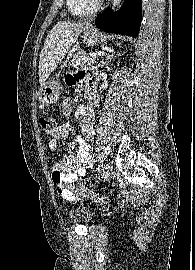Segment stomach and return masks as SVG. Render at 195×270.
Returning <instances> with one entry per match:
<instances>
[{"label": "stomach", "instance_id": "obj_1", "mask_svg": "<svg viewBox=\"0 0 195 270\" xmlns=\"http://www.w3.org/2000/svg\"><path fill=\"white\" fill-rule=\"evenodd\" d=\"M82 38L86 44L95 46L103 38V35L97 29L88 26ZM62 90L63 87L58 79H48L39 89L38 99L43 105L50 106L57 102Z\"/></svg>", "mask_w": 195, "mask_h": 270}]
</instances>
